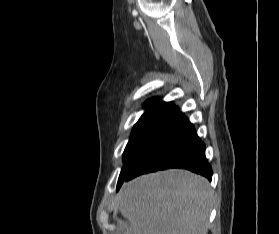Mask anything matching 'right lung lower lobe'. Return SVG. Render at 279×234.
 I'll return each instance as SVG.
<instances>
[{"label":"right lung lower lobe","instance_id":"1","mask_svg":"<svg viewBox=\"0 0 279 234\" xmlns=\"http://www.w3.org/2000/svg\"><path fill=\"white\" fill-rule=\"evenodd\" d=\"M169 168L188 169L209 180L212 177L211 166L205 158V145L178 107L173 108L143 145L124 181Z\"/></svg>","mask_w":279,"mask_h":234}]
</instances>
